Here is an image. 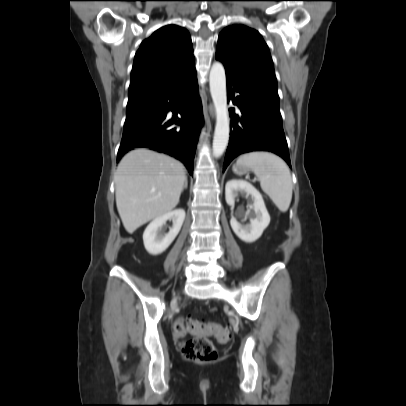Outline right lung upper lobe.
<instances>
[{
  "instance_id": "cb5924a9",
  "label": "right lung upper lobe",
  "mask_w": 406,
  "mask_h": 406,
  "mask_svg": "<svg viewBox=\"0 0 406 406\" xmlns=\"http://www.w3.org/2000/svg\"><path fill=\"white\" fill-rule=\"evenodd\" d=\"M196 74L188 31L167 25L145 39L135 54L127 106L149 101Z\"/></svg>"
}]
</instances>
